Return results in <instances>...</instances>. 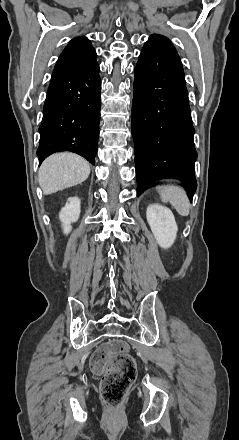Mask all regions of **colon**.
I'll return each mask as SVG.
<instances>
[{
	"label": "colon",
	"mask_w": 239,
	"mask_h": 440,
	"mask_svg": "<svg viewBox=\"0 0 239 440\" xmlns=\"http://www.w3.org/2000/svg\"><path fill=\"white\" fill-rule=\"evenodd\" d=\"M91 367L100 375L101 395L110 407L119 406L136 379L137 367L126 343L114 340L101 346L93 354Z\"/></svg>",
	"instance_id": "5ec220e1"
}]
</instances>
